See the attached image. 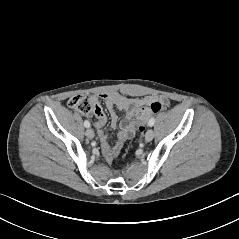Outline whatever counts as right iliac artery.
I'll list each match as a JSON object with an SVG mask.
<instances>
[{
  "mask_svg": "<svg viewBox=\"0 0 239 239\" xmlns=\"http://www.w3.org/2000/svg\"><path fill=\"white\" fill-rule=\"evenodd\" d=\"M84 126H85L86 128H89V127H90V122H89L88 120H85V121H84Z\"/></svg>",
  "mask_w": 239,
  "mask_h": 239,
  "instance_id": "right-iliac-artery-1",
  "label": "right iliac artery"
}]
</instances>
